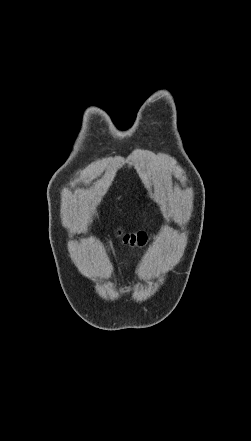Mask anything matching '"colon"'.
I'll list each match as a JSON object with an SVG mask.
<instances>
[{"instance_id":"obj_1","label":"colon","mask_w":251,"mask_h":441,"mask_svg":"<svg viewBox=\"0 0 251 441\" xmlns=\"http://www.w3.org/2000/svg\"><path fill=\"white\" fill-rule=\"evenodd\" d=\"M123 242L132 247H141L149 240V235L143 231L132 233H120Z\"/></svg>"}]
</instances>
